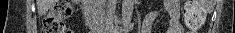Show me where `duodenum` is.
Instances as JSON below:
<instances>
[{
    "mask_svg": "<svg viewBox=\"0 0 235 33\" xmlns=\"http://www.w3.org/2000/svg\"><path fill=\"white\" fill-rule=\"evenodd\" d=\"M85 15L86 24L92 33H99L102 28L101 14L93 1L86 3Z\"/></svg>",
    "mask_w": 235,
    "mask_h": 33,
    "instance_id": "duodenum-1",
    "label": "duodenum"
}]
</instances>
